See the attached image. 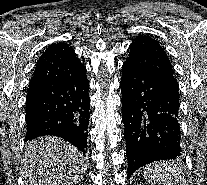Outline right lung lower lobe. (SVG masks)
Returning <instances> with one entry per match:
<instances>
[{
	"label": "right lung lower lobe",
	"mask_w": 207,
	"mask_h": 185,
	"mask_svg": "<svg viewBox=\"0 0 207 185\" xmlns=\"http://www.w3.org/2000/svg\"><path fill=\"white\" fill-rule=\"evenodd\" d=\"M89 83L80 76L27 95L25 141L52 135L61 137L85 153L88 137Z\"/></svg>",
	"instance_id": "obj_1"
}]
</instances>
